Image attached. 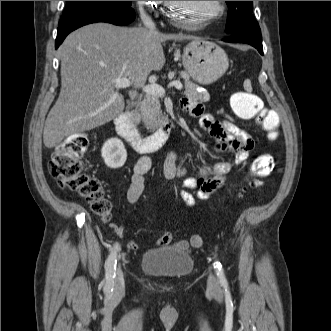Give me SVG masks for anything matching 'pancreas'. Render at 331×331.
Here are the masks:
<instances>
[{
    "instance_id": "pancreas-1",
    "label": "pancreas",
    "mask_w": 331,
    "mask_h": 331,
    "mask_svg": "<svg viewBox=\"0 0 331 331\" xmlns=\"http://www.w3.org/2000/svg\"><path fill=\"white\" fill-rule=\"evenodd\" d=\"M181 77L184 79L185 91L184 94L195 101H208L209 94L198 92L197 84L189 80V75L186 72H181ZM134 119L136 123L143 122L148 129H154L160 126L165 116L161 111V104L158 95L146 94L143 100L137 105L134 110Z\"/></svg>"
}]
</instances>
